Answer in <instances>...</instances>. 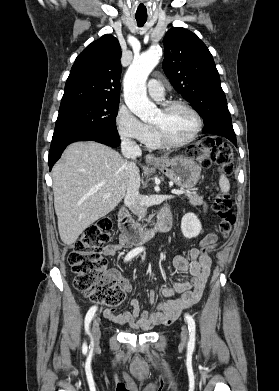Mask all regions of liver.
Masks as SVG:
<instances>
[{"mask_svg": "<svg viewBox=\"0 0 279 391\" xmlns=\"http://www.w3.org/2000/svg\"><path fill=\"white\" fill-rule=\"evenodd\" d=\"M125 167L121 155L104 144L87 141L67 147L64 161L52 169L54 207L64 244L75 243L120 203L127 190Z\"/></svg>", "mask_w": 279, "mask_h": 391, "instance_id": "liver-1", "label": "liver"}]
</instances>
